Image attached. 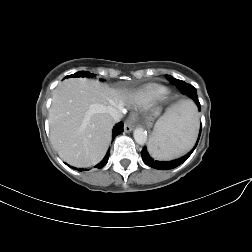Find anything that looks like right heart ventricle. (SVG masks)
<instances>
[{
	"instance_id": "e07e8e85",
	"label": "right heart ventricle",
	"mask_w": 252,
	"mask_h": 252,
	"mask_svg": "<svg viewBox=\"0 0 252 252\" xmlns=\"http://www.w3.org/2000/svg\"><path fill=\"white\" fill-rule=\"evenodd\" d=\"M167 90L160 86H149L135 95V100L140 105H147L161 100L167 95Z\"/></svg>"
}]
</instances>
